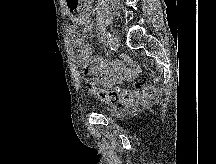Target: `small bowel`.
I'll return each instance as SVG.
<instances>
[{
    "label": "small bowel",
    "mask_w": 216,
    "mask_h": 164,
    "mask_svg": "<svg viewBox=\"0 0 216 164\" xmlns=\"http://www.w3.org/2000/svg\"><path fill=\"white\" fill-rule=\"evenodd\" d=\"M78 27L82 29L80 32L77 31ZM70 31L73 36V44L79 48L78 65L103 86L111 87L121 80H129L137 74V67L134 64L130 67H125L119 62L111 65L101 56H93L91 45L84 42L85 36L91 31V19L87 11L73 17Z\"/></svg>",
    "instance_id": "obj_1"
}]
</instances>
